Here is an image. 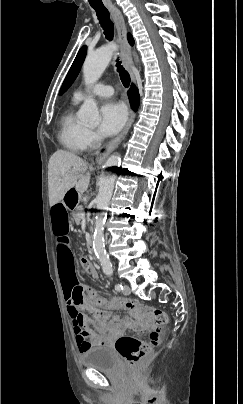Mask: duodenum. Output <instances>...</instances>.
<instances>
[{"mask_svg":"<svg viewBox=\"0 0 243 404\" xmlns=\"http://www.w3.org/2000/svg\"><path fill=\"white\" fill-rule=\"evenodd\" d=\"M63 200L68 209L75 210L79 204L80 194H79L78 190L74 187L67 188L64 191ZM87 246L91 251L93 250V237L92 236L88 237Z\"/></svg>","mask_w":243,"mask_h":404,"instance_id":"duodenum-1","label":"duodenum"}]
</instances>
